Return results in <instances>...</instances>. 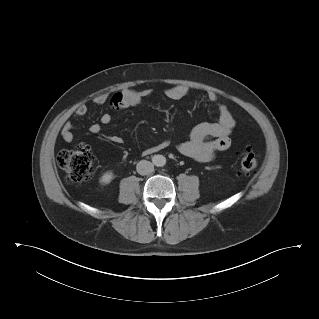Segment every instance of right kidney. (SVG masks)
<instances>
[{
    "instance_id": "obj_1",
    "label": "right kidney",
    "mask_w": 319,
    "mask_h": 319,
    "mask_svg": "<svg viewBox=\"0 0 319 319\" xmlns=\"http://www.w3.org/2000/svg\"><path fill=\"white\" fill-rule=\"evenodd\" d=\"M112 178H113V173H112L111 171H107V172L104 173V174L102 175V177L100 178V182H101L102 184H108V183L111 182Z\"/></svg>"
}]
</instances>
